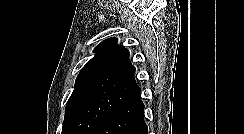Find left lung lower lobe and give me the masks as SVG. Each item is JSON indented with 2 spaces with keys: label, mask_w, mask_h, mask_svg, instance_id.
<instances>
[{
  "label": "left lung lower lobe",
  "mask_w": 244,
  "mask_h": 134,
  "mask_svg": "<svg viewBox=\"0 0 244 134\" xmlns=\"http://www.w3.org/2000/svg\"><path fill=\"white\" fill-rule=\"evenodd\" d=\"M144 104L140 96L112 113L95 134H147Z\"/></svg>",
  "instance_id": "obj_1"
}]
</instances>
